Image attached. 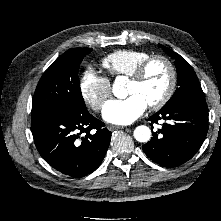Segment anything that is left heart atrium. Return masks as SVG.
Returning <instances> with one entry per match:
<instances>
[{
    "label": "left heart atrium",
    "mask_w": 221,
    "mask_h": 221,
    "mask_svg": "<svg viewBox=\"0 0 221 221\" xmlns=\"http://www.w3.org/2000/svg\"><path fill=\"white\" fill-rule=\"evenodd\" d=\"M147 103L137 94L125 99L108 101L103 108V118L117 125H128L137 120L146 110Z\"/></svg>",
    "instance_id": "obj_1"
}]
</instances>
